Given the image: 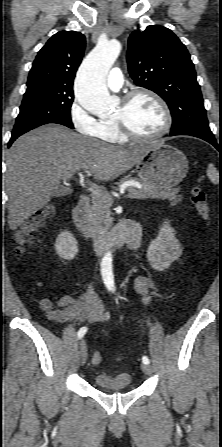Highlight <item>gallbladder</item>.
<instances>
[{"mask_svg":"<svg viewBox=\"0 0 222 447\" xmlns=\"http://www.w3.org/2000/svg\"><path fill=\"white\" fill-rule=\"evenodd\" d=\"M71 192V189L68 187H58L57 189L54 190L53 192V196L54 197H62V196H66Z\"/></svg>","mask_w":222,"mask_h":447,"instance_id":"obj_1","label":"gallbladder"}]
</instances>
